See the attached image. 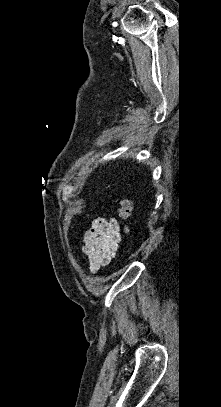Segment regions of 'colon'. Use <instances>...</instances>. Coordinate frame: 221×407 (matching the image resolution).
<instances>
[{
	"mask_svg": "<svg viewBox=\"0 0 221 407\" xmlns=\"http://www.w3.org/2000/svg\"><path fill=\"white\" fill-rule=\"evenodd\" d=\"M119 214L122 218L128 219L133 211V204L130 200L122 198L119 200Z\"/></svg>",
	"mask_w": 221,
	"mask_h": 407,
	"instance_id": "obj_1",
	"label": "colon"
}]
</instances>
